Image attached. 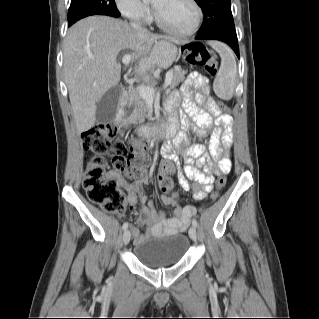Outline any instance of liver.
I'll return each mask as SVG.
<instances>
[{"mask_svg":"<svg viewBox=\"0 0 319 319\" xmlns=\"http://www.w3.org/2000/svg\"><path fill=\"white\" fill-rule=\"evenodd\" d=\"M163 38L168 39L136 30L127 22L107 16L87 17L68 30L63 70L79 133L94 126L97 102L118 85L121 78L119 53L131 50L133 59H140L139 68L150 69L155 63L152 46Z\"/></svg>","mask_w":319,"mask_h":319,"instance_id":"obj_1","label":"liver"}]
</instances>
